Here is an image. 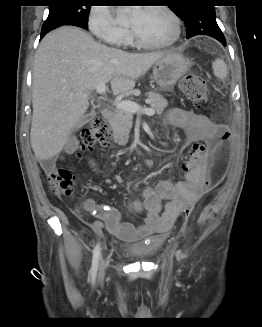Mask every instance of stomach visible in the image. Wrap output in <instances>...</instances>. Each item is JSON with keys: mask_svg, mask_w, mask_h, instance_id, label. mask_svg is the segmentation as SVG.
<instances>
[{"mask_svg": "<svg viewBox=\"0 0 262 327\" xmlns=\"http://www.w3.org/2000/svg\"><path fill=\"white\" fill-rule=\"evenodd\" d=\"M190 61L182 53H168L153 67L154 79L161 90H171L189 70Z\"/></svg>", "mask_w": 262, "mask_h": 327, "instance_id": "1", "label": "stomach"}]
</instances>
